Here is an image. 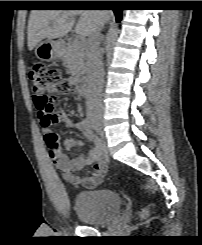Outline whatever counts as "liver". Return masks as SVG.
<instances>
[{"label":"liver","instance_id":"6515ba94","mask_svg":"<svg viewBox=\"0 0 202 245\" xmlns=\"http://www.w3.org/2000/svg\"><path fill=\"white\" fill-rule=\"evenodd\" d=\"M80 16L75 32L84 37L105 24L110 12L93 10H32L27 27L28 49L33 50L42 40L62 38L74 26L76 16Z\"/></svg>","mask_w":202,"mask_h":245}]
</instances>
